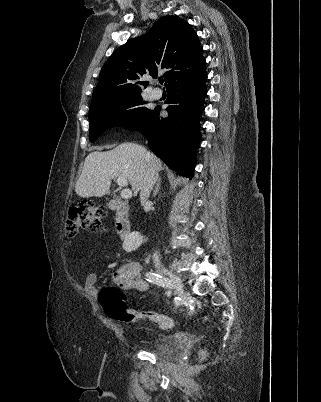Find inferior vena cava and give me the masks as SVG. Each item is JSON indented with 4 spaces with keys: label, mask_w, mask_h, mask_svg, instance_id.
Instances as JSON below:
<instances>
[{
    "label": "inferior vena cava",
    "mask_w": 321,
    "mask_h": 402,
    "mask_svg": "<svg viewBox=\"0 0 321 402\" xmlns=\"http://www.w3.org/2000/svg\"><path fill=\"white\" fill-rule=\"evenodd\" d=\"M158 178V173L157 171L153 168V166L148 163L147 164V168H146V172L142 181V185L140 188V201L141 204L144 205L148 202V198L150 196V192L153 189V186L155 185L156 181ZM153 261L156 265L160 264V259H159V254L156 251L155 253H153Z\"/></svg>",
    "instance_id": "602c4592"
}]
</instances>
